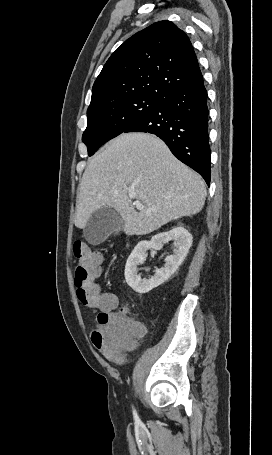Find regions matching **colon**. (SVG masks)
I'll use <instances>...</instances> for the list:
<instances>
[{
    "mask_svg": "<svg viewBox=\"0 0 272 455\" xmlns=\"http://www.w3.org/2000/svg\"><path fill=\"white\" fill-rule=\"evenodd\" d=\"M73 254L78 300L98 312L91 331V341L107 359L119 361L122 352L144 333V327L127 317L122 310L116 311V297L106 293L96 282L100 273L101 253L83 241H76Z\"/></svg>",
    "mask_w": 272,
    "mask_h": 455,
    "instance_id": "obj_1",
    "label": "colon"
}]
</instances>
